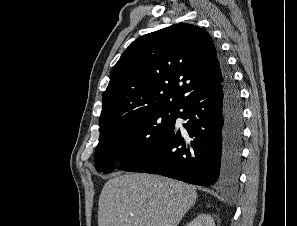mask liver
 <instances>
[{
    "mask_svg": "<svg viewBox=\"0 0 297 226\" xmlns=\"http://www.w3.org/2000/svg\"><path fill=\"white\" fill-rule=\"evenodd\" d=\"M196 200V190L185 183L119 172L101 191L98 226H177Z\"/></svg>",
    "mask_w": 297,
    "mask_h": 226,
    "instance_id": "1",
    "label": "liver"
}]
</instances>
